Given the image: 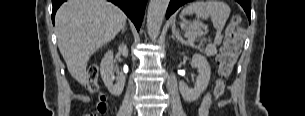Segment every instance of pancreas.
Here are the masks:
<instances>
[{
    "label": "pancreas",
    "instance_id": "cf45deb5",
    "mask_svg": "<svg viewBox=\"0 0 305 116\" xmlns=\"http://www.w3.org/2000/svg\"><path fill=\"white\" fill-rule=\"evenodd\" d=\"M205 41V39H201L200 45L197 46L198 49H200L201 45L203 44V42Z\"/></svg>",
    "mask_w": 305,
    "mask_h": 116
}]
</instances>
